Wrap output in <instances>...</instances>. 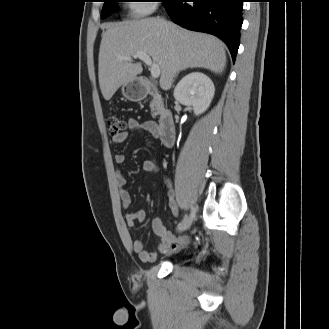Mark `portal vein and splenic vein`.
Wrapping results in <instances>:
<instances>
[{"label": "portal vein and splenic vein", "instance_id": "18ae733b", "mask_svg": "<svg viewBox=\"0 0 329 329\" xmlns=\"http://www.w3.org/2000/svg\"><path fill=\"white\" fill-rule=\"evenodd\" d=\"M134 58H138L139 60L143 61L147 66L150 67V73L153 78H158L160 75V67L158 64L152 62L149 55H147L144 52H137L134 56ZM128 61H131L132 58H124Z\"/></svg>", "mask_w": 329, "mask_h": 329}]
</instances>
